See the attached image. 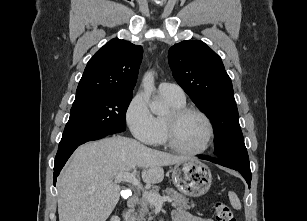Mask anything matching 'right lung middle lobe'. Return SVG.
I'll list each match as a JSON object with an SVG mask.
<instances>
[{
    "label": "right lung middle lobe",
    "mask_w": 307,
    "mask_h": 221,
    "mask_svg": "<svg viewBox=\"0 0 307 221\" xmlns=\"http://www.w3.org/2000/svg\"><path fill=\"white\" fill-rule=\"evenodd\" d=\"M132 96L133 93H110L74 102L58 149L125 131Z\"/></svg>",
    "instance_id": "1"
}]
</instances>
